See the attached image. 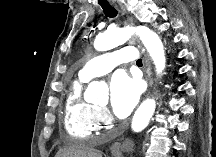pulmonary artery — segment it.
<instances>
[{
  "label": "pulmonary artery",
  "instance_id": "obj_1",
  "mask_svg": "<svg viewBox=\"0 0 216 157\" xmlns=\"http://www.w3.org/2000/svg\"><path fill=\"white\" fill-rule=\"evenodd\" d=\"M138 53L132 46L123 47L116 51L99 55L90 59L79 71V77L85 81L112 71L123 62L134 61Z\"/></svg>",
  "mask_w": 216,
  "mask_h": 157
}]
</instances>
